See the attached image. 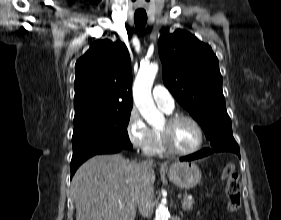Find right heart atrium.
Wrapping results in <instances>:
<instances>
[{"label": "right heart atrium", "mask_w": 281, "mask_h": 220, "mask_svg": "<svg viewBox=\"0 0 281 220\" xmlns=\"http://www.w3.org/2000/svg\"><path fill=\"white\" fill-rule=\"evenodd\" d=\"M126 134L136 150L143 153L149 152L153 140L152 130L136 110H132L128 116Z\"/></svg>", "instance_id": "obj_1"}]
</instances>
